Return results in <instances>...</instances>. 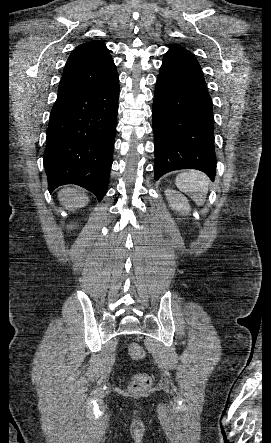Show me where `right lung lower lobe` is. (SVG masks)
Masks as SVG:
<instances>
[{
	"label": "right lung lower lobe",
	"instance_id": "1",
	"mask_svg": "<svg viewBox=\"0 0 271 443\" xmlns=\"http://www.w3.org/2000/svg\"><path fill=\"white\" fill-rule=\"evenodd\" d=\"M119 78L58 93L47 130L44 167L50 193L76 184L101 201L107 191L116 132Z\"/></svg>",
	"mask_w": 271,
	"mask_h": 443
}]
</instances>
